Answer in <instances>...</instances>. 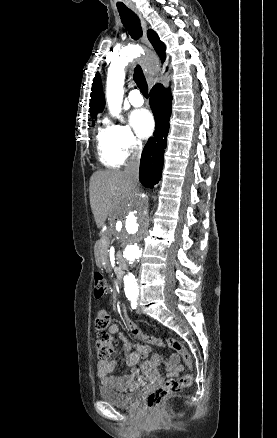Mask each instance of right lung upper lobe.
<instances>
[{
	"mask_svg": "<svg viewBox=\"0 0 277 438\" xmlns=\"http://www.w3.org/2000/svg\"><path fill=\"white\" fill-rule=\"evenodd\" d=\"M148 39L153 45L154 49L160 56L162 62L165 60V45L160 41L158 35L153 30H148ZM105 106L104 94L102 93V85L99 73L96 74L93 84L90 99V113L92 118H96L97 115L102 112Z\"/></svg>",
	"mask_w": 277,
	"mask_h": 438,
	"instance_id": "obj_1",
	"label": "right lung upper lobe"
}]
</instances>
